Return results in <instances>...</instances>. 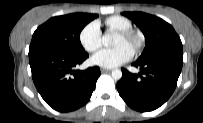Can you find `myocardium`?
I'll return each instance as SVG.
<instances>
[{
	"label": "myocardium",
	"mask_w": 203,
	"mask_h": 123,
	"mask_svg": "<svg viewBox=\"0 0 203 123\" xmlns=\"http://www.w3.org/2000/svg\"><path fill=\"white\" fill-rule=\"evenodd\" d=\"M118 34L122 36L124 39L132 42L133 44L132 50L134 53H137L138 51H140V49L143 46V38L139 33L130 29V30L118 31Z\"/></svg>",
	"instance_id": "f54148a6"
}]
</instances>
